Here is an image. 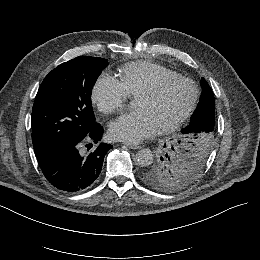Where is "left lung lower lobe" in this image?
<instances>
[{
    "mask_svg": "<svg viewBox=\"0 0 260 260\" xmlns=\"http://www.w3.org/2000/svg\"><path fill=\"white\" fill-rule=\"evenodd\" d=\"M215 130V108L213 102L199 101V104L191 117L189 131L211 132Z\"/></svg>",
    "mask_w": 260,
    "mask_h": 260,
    "instance_id": "1",
    "label": "left lung lower lobe"
}]
</instances>
